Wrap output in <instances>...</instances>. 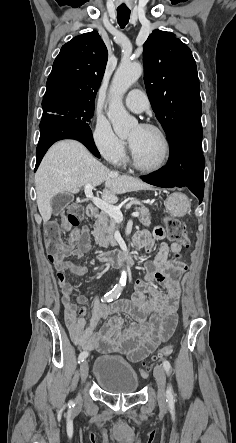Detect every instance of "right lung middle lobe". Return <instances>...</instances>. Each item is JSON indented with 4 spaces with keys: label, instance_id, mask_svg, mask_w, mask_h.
Masks as SVG:
<instances>
[{
    "label": "right lung middle lobe",
    "instance_id": "dd1d6c3e",
    "mask_svg": "<svg viewBox=\"0 0 236 443\" xmlns=\"http://www.w3.org/2000/svg\"><path fill=\"white\" fill-rule=\"evenodd\" d=\"M42 107L43 115L57 114L69 118L78 126L91 131L88 123L94 113L93 102L77 97L61 96L42 102Z\"/></svg>",
    "mask_w": 236,
    "mask_h": 443
}]
</instances>
